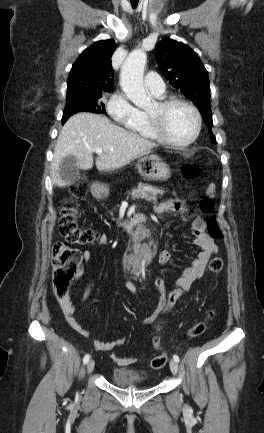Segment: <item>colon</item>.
Masks as SVG:
<instances>
[{"mask_svg": "<svg viewBox=\"0 0 264 433\" xmlns=\"http://www.w3.org/2000/svg\"><path fill=\"white\" fill-rule=\"evenodd\" d=\"M206 164V161H202L195 166H186L182 169V174L185 179H192L200 168ZM71 194L75 199H83L87 195V186L85 183L79 182L71 188ZM199 210L204 215H210L206 225L208 234L212 238H219L222 230L217 219L212 216L214 204L208 196L201 197ZM183 217L187 219L189 215L185 214ZM59 231L64 240L56 244L52 252V265L54 269L53 286L56 297L63 298L69 294L70 284L75 278L81 263V254L74 246L91 244L97 241L99 236L93 229L79 225L78 208L71 201L65 202L61 208ZM222 267L223 260L221 257L214 256L209 261V270L212 272H218ZM182 293L183 291L180 288L172 290L166 297L159 313L166 315L172 311L181 298ZM213 316L214 311L210 310L205 320L199 321L190 327L188 335L192 338L202 335L206 330L207 321L212 319ZM161 332L162 323L157 326L156 335L153 338V344L156 349H160L161 347ZM166 361V354L160 352L152 357L150 366L153 369H160L166 364Z\"/></svg>", "mask_w": 264, "mask_h": 433, "instance_id": "1", "label": "colon"}]
</instances>
